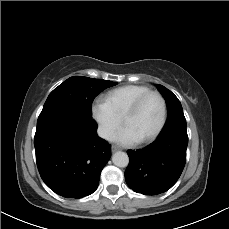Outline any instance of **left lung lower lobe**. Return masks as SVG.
<instances>
[{
  "instance_id": "left-lung-lower-lobe-1",
  "label": "left lung lower lobe",
  "mask_w": 229,
  "mask_h": 229,
  "mask_svg": "<svg viewBox=\"0 0 229 229\" xmlns=\"http://www.w3.org/2000/svg\"><path fill=\"white\" fill-rule=\"evenodd\" d=\"M187 145L186 127L178 126L144 149L129 150L130 161L125 171L128 186L145 195L170 189L184 169Z\"/></svg>"
}]
</instances>
